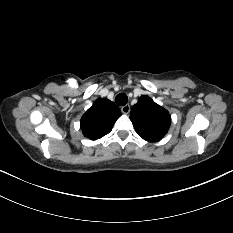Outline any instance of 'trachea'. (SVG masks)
<instances>
[{"label":"trachea","instance_id":"1","mask_svg":"<svg viewBox=\"0 0 233 233\" xmlns=\"http://www.w3.org/2000/svg\"><path fill=\"white\" fill-rule=\"evenodd\" d=\"M128 101V97L125 93H120L115 97V102L119 105V106H124Z\"/></svg>","mask_w":233,"mask_h":233}]
</instances>
